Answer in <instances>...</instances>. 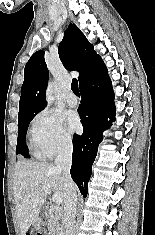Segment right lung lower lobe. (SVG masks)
Wrapping results in <instances>:
<instances>
[{
	"instance_id": "98d812e1",
	"label": "right lung lower lobe",
	"mask_w": 155,
	"mask_h": 235,
	"mask_svg": "<svg viewBox=\"0 0 155 235\" xmlns=\"http://www.w3.org/2000/svg\"><path fill=\"white\" fill-rule=\"evenodd\" d=\"M80 93L82 99L78 111L84 131L82 135L74 134L70 173L86 197L92 164L103 140L102 132L115 121L114 94L107 72L83 84Z\"/></svg>"
}]
</instances>
